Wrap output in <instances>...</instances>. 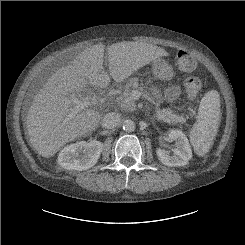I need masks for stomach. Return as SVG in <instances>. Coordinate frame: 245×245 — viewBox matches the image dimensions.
<instances>
[{"mask_svg": "<svg viewBox=\"0 0 245 245\" xmlns=\"http://www.w3.org/2000/svg\"><path fill=\"white\" fill-rule=\"evenodd\" d=\"M152 73L156 78L161 80H170L174 75L172 66L161 58L153 61Z\"/></svg>", "mask_w": 245, "mask_h": 245, "instance_id": "1", "label": "stomach"}]
</instances>
